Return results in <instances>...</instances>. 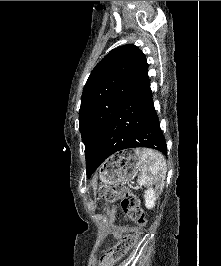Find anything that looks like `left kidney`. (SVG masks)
I'll use <instances>...</instances> for the list:
<instances>
[{"mask_svg":"<svg viewBox=\"0 0 221 266\" xmlns=\"http://www.w3.org/2000/svg\"><path fill=\"white\" fill-rule=\"evenodd\" d=\"M157 196H158V194L156 193V190L153 189L152 187L145 191V195H144L145 206L148 209H151L155 206Z\"/></svg>","mask_w":221,"mask_h":266,"instance_id":"1","label":"left kidney"}]
</instances>
